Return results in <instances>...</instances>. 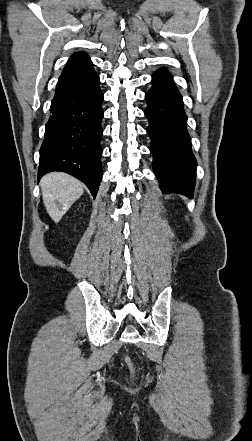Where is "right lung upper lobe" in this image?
Here are the masks:
<instances>
[{
	"label": "right lung upper lobe",
	"instance_id": "cb5924a9",
	"mask_svg": "<svg viewBox=\"0 0 252 441\" xmlns=\"http://www.w3.org/2000/svg\"><path fill=\"white\" fill-rule=\"evenodd\" d=\"M88 60H90V59H89V57L85 53H83V52L75 53L68 60V62H67V64H66V66H65L63 71H65V70H67V69H69L71 67H74V66H76V65H78L80 63L86 62Z\"/></svg>",
	"mask_w": 252,
	"mask_h": 441
}]
</instances>
